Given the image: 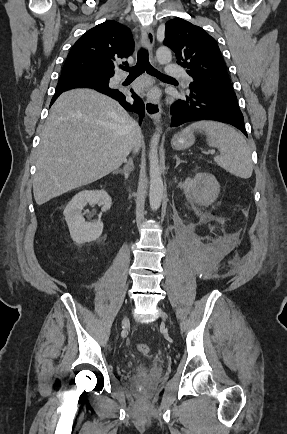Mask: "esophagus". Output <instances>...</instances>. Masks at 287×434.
I'll return each instance as SVG.
<instances>
[{"label": "esophagus", "instance_id": "1", "mask_svg": "<svg viewBox=\"0 0 287 434\" xmlns=\"http://www.w3.org/2000/svg\"><path fill=\"white\" fill-rule=\"evenodd\" d=\"M141 36L144 47L148 48V50L150 51V60L151 62H154L152 53L154 46V32L152 28L149 26H141ZM153 83V79L147 80V85H151ZM155 87H157V85H155ZM145 111L146 114L155 121V123H158L162 113L161 103L159 99L147 98L145 100Z\"/></svg>", "mask_w": 287, "mask_h": 434}]
</instances>
